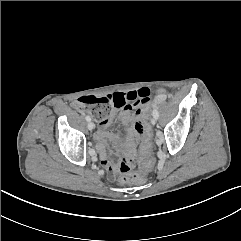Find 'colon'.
I'll return each mask as SVG.
<instances>
[{"label": "colon", "mask_w": 241, "mask_h": 241, "mask_svg": "<svg viewBox=\"0 0 241 241\" xmlns=\"http://www.w3.org/2000/svg\"><path fill=\"white\" fill-rule=\"evenodd\" d=\"M75 107L81 112L89 113L93 119L99 123L107 120L113 111L115 102L110 97H95V96H82L74 103ZM148 106L141 108V118L144 121L142 125V141H141V160L139 161L140 171L137 173L132 172V159L124 156L118 162V170L121 174L120 182L123 184L128 183H142L146 179V173L149 171L151 163V131L152 122L149 120Z\"/></svg>", "instance_id": "1"}]
</instances>
